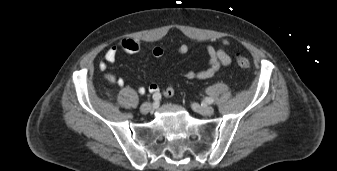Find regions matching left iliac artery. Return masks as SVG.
<instances>
[{
	"mask_svg": "<svg viewBox=\"0 0 337 171\" xmlns=\"http://www.w3.org/2000/svg\"><path fill=\"white\" fill-rule=\"evenodd\" d=\"M205 102L208 103V104H212L214 102V100H213V98L207 97L205 99Z\"/></svg>",
	"mask_w": 337,
	"mask_h": 171,
	"instance_id": "1",
	"label": "left iliac artery"
}]
</instances>
